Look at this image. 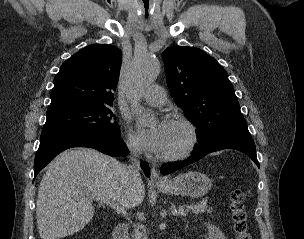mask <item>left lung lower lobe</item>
Returning a JSON list of instances; mask_svg holds the SVG:
<instances>
[{"mask_svg": "<svg viewBox=\"0 0 304 239\" xmlns=\"http://www.w3.org/2000/svg\"><path fill=\"white\" fill-rule=\"evenodd\" d=\"M222 149H235L249 156L259 167V162L256 156V147L251 137H226L219 139L207 145L199 146L196 151L188 159L176 163L163 164L161 167L162 175L172 173L183 166L191 164L208 153L219 151Z\"/></svg>", "mask_w": 304, "mask_h": 239, "instance_id": "0a47b994", "label": "left lung lower lobe"}]
</instances>
